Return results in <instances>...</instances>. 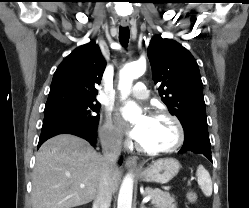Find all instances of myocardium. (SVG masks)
I'll list each match as a JSON object with an SVG mask.
<instances>
[{"label": "myocardium", "mask_w": 249, "mask_h": 208, "mask_svg": "<svg viewBox=\"0 0 249 208\" xmlns=\"http://www.w3.org/2000/svg\"><path fill=\"white\" fill-rule=\"evenodd\" d=\"M150 115L151 117H165V118L170 119L176 126L177 135H178L177 140L172 146L167 147V148H159V149L145 148L141 146L139 143H137L136 144L137 150L142 153L149 154V155H158V154L171 153L177 150L178 148H180L185 140V130L180 119L174 114L170 113L169 111H166L163 109H156L153 112H151Z\"/></svg>", "instance_id": "obj_1"}]
</instances>
